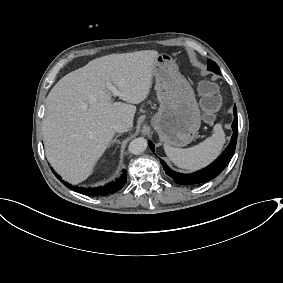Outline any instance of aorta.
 <instances>
[{"label":"aorta","mask_w":283,"mask_h":283,"mask_svg":"<svg viewBox=\"0 0 283 283\" xmlns=\"http://www.w3.org/2000/svg\"><path fill=\"white\" fill-rule=\"evenodd\" d=\"M148 146L147 140L140 137V138H135L133 139L128 147V151L131 154L139 155L143 153Z\"/></svg>","instance_id":"762f6f07"}]
</instances>
